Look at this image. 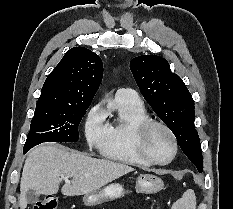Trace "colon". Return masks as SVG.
Wrapping results in <instances>:
<instances>
[{
    "label": "colon",
    "instance_id": "colon-1",
    "mask_svg": "<svg viewBox=\"0 0 233 209\" xmlns=\"http://www.w3.org/2000/svg\"><path fill=\"white\" fill-rule=\"evenodd\" d=\"M57 208V199L56 198H46L37 202L33 209H56Z\"/></svg>",
    "mask_w": 233,
    "mask_h": 209
}]
</instances>
